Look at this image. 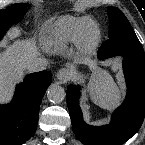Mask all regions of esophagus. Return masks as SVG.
I'll list each match as a JSON object with an SVG mask.
<instances>
[{
  "label": "esophagus",
  "instance_id": "34e87169",
  "mask_svg": "<svg viewBox=\"0 0 145 145\" xmlns=\"http://www.w3.org/2000/svg\"><path fill=\"white\" fill-rule=\"evenodd\" d=\"M70 75H71V73H70L69 69L62 68L57 72L56 77H57V80L62 84L69 80Z\"/></svg>",
  "mask_w": 145,
  "mask_h": 145
}]
</instances>
